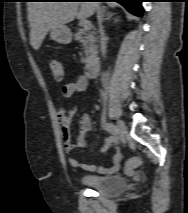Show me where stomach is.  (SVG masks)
Wrapping results in <instances>:
<instances>
[{
	"mask_svg": "<svg viewBox=\"0 0 188 213\" xmlns=\"http://www.w3.org/2000/svg\"><path fill=\"white\" fill-rule=\"evenodd\" d=\"M50 38L61 44H69L72 40V33L66 25H61L50 30Z\"/></svg>",
	"mask_w": 188,
	"mask_h": 213,
	"instance_id": "0dacf381",
	"label": "stomach"
}]
</instances>
